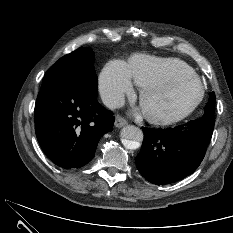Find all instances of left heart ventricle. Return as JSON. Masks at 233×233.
<instances>
[{"label":"left heart ventricle","instance_id":"obj_1","mask_svg":"<svg viewBox=\"0 0 233 233\" xmlns=\"http://www.w3.org/2000/svg\"><path fill=\"white\" fill-rule=\"evenodd\" d=\"M201 87L192 79L154 90L146 97V107L153 112L175 116L186 111L199 97Z\"/></svg>","mask_w":233,"mask_h":233}]
</instances>
